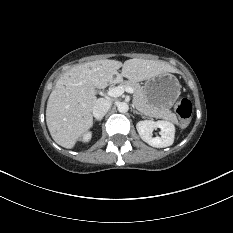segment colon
<instances>
[{
	"instance_id": "5ec220e1",
	"label": "colon",
	"mask_w": 233,
	"mask_h": 233,
	"mask_svg": "<svg viewBox=\"0 0 233 233\" xmlns=\"http://www.w3.org/2000/svg\"><path fill=\"white\" fill-rule=\"evenodd\" d=\"M175 110L182 127H187L192 114V103L188 98H180L175 104Z\"/></svg>"
}]
</instances>
